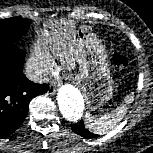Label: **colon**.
<instances>
[{"instance_id": "1", "label": "colon", "mask_w": 153, "mask_h": 153, "mask_svg": "<svg viewBox=\"0 0 153 153\" xmlns=\"http://www.w3.org/2000/svg\"><path fill=\"white\" fill-rule=\"evenodd\" d=\"M113 63L118 69H124L127 66L126 58L120 52L113 53Z\"/></svg>"}]
</instances>
